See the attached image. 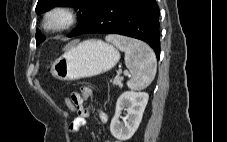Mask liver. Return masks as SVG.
Here are the masks:
<instances>
[{
    "mask_svg": "<svg viewBox=\"0 0 227 142\" xmlns=\"http://www.w3.org/2000/svg\"><path fill=\"white\" fill-rule=\"evenodd\" d=\"M75 42H71V43H69L65 48H64V50H66L69 46H71L72 44H74Z\"/></svg>",
    "mask_w": 227,
    "mask_h": 142,
    "instance_id": "obj_1",
    "label": "liver"
}]
</instances>
